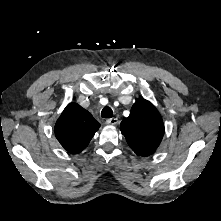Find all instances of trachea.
<instances>
[{
    "mask_svg": "<svg viewBox=\"0 0 221 221\" xmlns=\"http://www.w3.org/2000/svg\"><path fill=\"white\" fill-rule=\"evenodd\" d=\"M101 117L102 118H112L113 117V110L110 107H104L102 112H101Z\"/></svg>",
    "mask_w": 221,
    "mask_h": 221,
    "instance_id": "trachea-1",
    "label": "trachea"
}]
</instances>
